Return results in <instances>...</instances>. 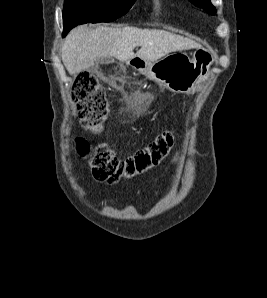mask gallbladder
Wrapping results in <instances>:
<instances>
[{"label": "gallbladder", "mask_w": 267, "mask_h": 298, "mask_svg": "<svg viewBox=\"0 0 267 298\" xmlns=\"http://www.w3.org/2000/svg\"><path fill=\"white\" fill-rule=\"evenodd\" d=\"M112 60V58H103V59H99L96 61V66L98 64H104V63H110ZM96 66H93L90 70L93 71L95 69Z\"/></svg>", "instance_id": "1"}]
</instances>
